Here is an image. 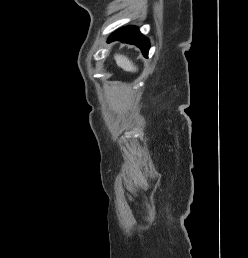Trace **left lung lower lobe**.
I'll use <instances>...</instances> for the list:
<instances>
[{
    "instance_id": "left-lung-lower-lobe-1",
    "label": "left lung lower lobe",
    "mask_w": 248,
    "mask_h": 258,
    "mask_svg": "<svg viewBox=\"0 0 248 258\" xmlns=\"http://www.w3.org/2000/svg\"><path fill=\"white\" fill-rule=\"evenodd\" d=\"M119 40L124 43L136 45L147 56L149 50V40L145 38L135 26L123 27L114 32L108 39V42Z\"/></svg>"
}]
</instances>
